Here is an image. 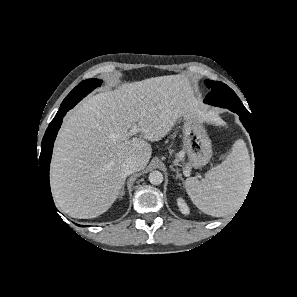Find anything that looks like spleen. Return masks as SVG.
Listing matches in <instances>:
<instances>
[{"label": "spleen", "mask_w": 297, "mask_h": 297, "mask_svg": "<svg viewBox=\"0 0 297 297\" xmlns=\"http://www.w3.org/2000/svg\"><path fill=\"white\" fill-rule=\"evenodd\" d=\"M252 179L250 157L244 140H237L231 153L210 169L205 178L185 181L186 192L204 213L221 217L236 211L246 196Z\"/></svg>", "instance_id": "spleen-1"}]
</instances>
